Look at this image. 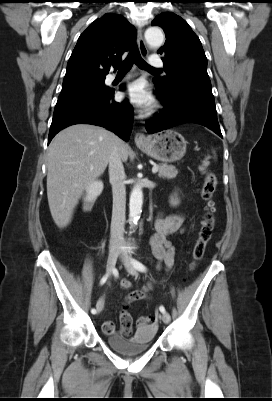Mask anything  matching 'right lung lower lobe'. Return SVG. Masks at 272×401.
Here are the masks:
<instances>
[{
    "label": "right lung lower lobe",
    "mask_w": 272,
    "mask_h": 401,
    "mask_svg": "<svg viewBox=\"0 0 272 401\" xmlns=\"http://www.w3.org/2000/svg\"><path fill=\"white\" fill-rule=\"evenodd\" d=\"M124 87H120L123 90ZM93 124L105 127L125 141L129 140L133 109L128 102L114 101V90L89 94L59 102L55 106L48 144L62 129L74 124Z\"/></svg>",
    "instance_id": "1"
}]
</instances>
